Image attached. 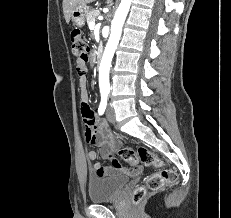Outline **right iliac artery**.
Listing matches in <instances>:
<instances>
[{"label":"right iliac artery","mask_w":231,"mask_h":218,"mask_svg":"<svg viewBox=\"0 0 231 218\" xmlns=\"http://www.w3.org/2000/svg\"><path fill=\"white\" fill-rule=\"evenodd\" d=\"M107 97H108V94L107 93H102L101 94V103H100V106H99V109H98V112L100 115H102L106 109V105H107Z\"/></svg>","instance_id":"obj_1"}]
</instances>
